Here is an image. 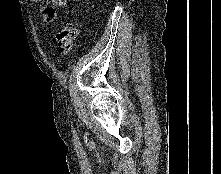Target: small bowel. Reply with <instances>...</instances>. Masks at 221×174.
I'll list each match as a JSON object with an SVG mask.
<instances>
[{"instance_id": "obj_1", "label": "small bowel", "mask_w": 221, "mask_h": 174, "mask_svg": "<svg viewBox=\"0 0 221 174\" xmlns=\"http://www.w3.org/2000/svg\"><path fill=\"white\" fill-rule=\"evenodd\" d=\"M38 2L39 0H32ZM53 6L65 7L67 5V0H49ZM55 13L51 6H46L43 8V21L46 23H51L54 20Z\"/></svg>"}]
</instances>
